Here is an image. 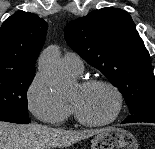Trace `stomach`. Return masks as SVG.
Wrapping results in <instances>:
<instances>
[{"label":"stomach","mask_w":155,"mask_h":149,"mask_svg":"<svg viewBox=\"0 0 155 149\" xmlns=\"http://www.w3.org/2000/svg\"><path fill=\"white\" fill-rule=\"evenodd\" d=\"M91 149H138V143L127 130L109 127L92 139Z\"/></svg>","instance_id":"1"}]
</instances>
